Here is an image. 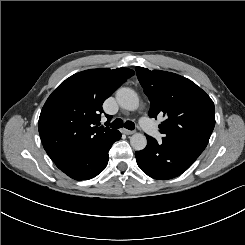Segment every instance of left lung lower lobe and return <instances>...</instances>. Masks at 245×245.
<instances>
[{"mask_svg": "<svg viewBox=\"0 0 245 245\" xmlns=\"http://www.w3.org/2000/svg\"><path fill=\"white\" fill-rule=\"evenodd\" d=\"M147 146L136 151L135 156L139 168L154 179L167 180L185 172L199 157L184 146L162 139L158 143L146 135Z\"/></svg>", "mask_w": 245, "mask_h": 245, "instance_id": "0a47b994", "label": "left lung lower lobe"}]
</instances>
